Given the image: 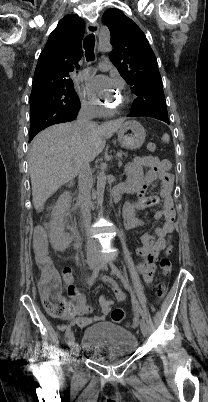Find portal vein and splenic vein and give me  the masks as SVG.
<instances>
[{"mask_svg":"<svg viewBox=\"0 0 208 402\" xmlns=\"http://www.w3.org/2000/svg\"><path fill=\"white\" fill-rule=\"evenodd\" d=\"M117 159H118V160H121V159H122V156H121L120 154H117Z\"/></svg>","mask_w":208,"mask_h":402,"instance_id":"18ae733b","label":"portal vein and splenic vein"}]
</instances>
